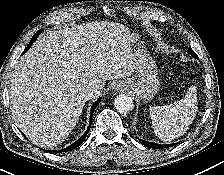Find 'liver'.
Returning <instances> with one entry per match:
<instances>
[{
    "mask_svg": "<svg viewBox=\"0 0 224 175\" xmlns=\"http://www.w3.org/2000/svg\"><path fill=\"white\" fill-rule=\"evenodd\" d=\"M131 37L122 24L96 21L50 30L34 43L9 88L13 120L30 141L61 144L79 120L87 87L101 92L106 80L133 75Z\"/></svg>",
    "mask_w": 224,
    "mask_h": 175,
    "instance_id": "1",
    "label": "liver"
}]
</instances>
